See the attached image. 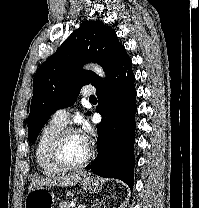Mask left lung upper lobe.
<instances>
[{
    "mask_svg": "<svg viewBox=\"0 0 199 208\" xmlns=\"http://www.w3.org/2000/svg\"><path fill=\"white\" fill-rule=\"evenodd\" d=\"M126 57L125 47L112 27L99 20L82 22L34 76L28 116L29 142L35 141L50 115L74 104L82 86L91 83L97 87L103 82L94 72L83 70L84 63L100 64L108 77Z\"/></svg>",
    "mask_w": 199,
    "mask_h": 208,
    "instance_id": "1",
    "label": "left lung upper lobe"
}]
</instances>
